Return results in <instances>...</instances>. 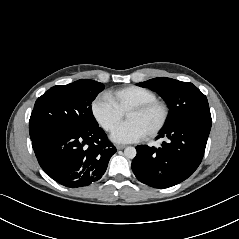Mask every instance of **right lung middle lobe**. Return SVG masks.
<instances>
[{
  "label": "right lung middle lobe",
  "instance_id": "right-lung-middle-lobe-1",
  "mask_svg": "<svg viewBox=\"0 0 239 239\" xmlns=\"http://www.w3.org/2000/svg\"><path fill=\"white\" fill-rule=\"evenodd\" d=\"M103 89L102 83L90 79L50 88L34 105L29 121L31 140L49 129L88 130L97 127L91 103Z\"/></svg>",
  "mask_w": 239,
  "mask_h": 239
}]
</instances>
